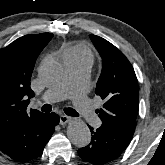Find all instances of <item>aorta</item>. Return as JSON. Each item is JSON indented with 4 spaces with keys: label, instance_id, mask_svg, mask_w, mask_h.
Returning a JSON list of instances; mask_svg holds the SVG:
<instances>
[{
    "label": "aorta",
    "instance_id": "1",
    "mask_svg": "<svg viewBox=\"0 0 165 165\" xmlns=\"http://www.w3.org/2000/svg\"><path fill=\"white\" fill-rule=\"evenodd\" d=\"M39 76L48 83L58 82L63 74L62 65L55 60H46L39 67ZM67 136L73 145L85 147L91 141V133L82 120H73L67 126Z\"/></svg>",
    "mask_w": 165,
    "mask_h": 165
}]
</instances>
